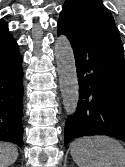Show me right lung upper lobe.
<instances>
[{"label": "right lung upper lobe", "mask_w": 125, "mask_h": 167, "mask_svg": "<svg viewBox=\"0 0 125 167\" xmlns=\"http://www.w3.org/2000/svg\"><path fill=\"white\" fill-rule=\"evenodd\" d=\"M7 27L6 22L0 20V28Z\"/></svg>", "instance_id": "right-lung-upper-lobe-1"}]
</instances>
